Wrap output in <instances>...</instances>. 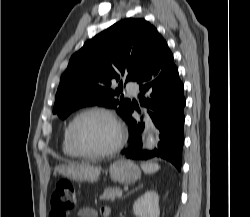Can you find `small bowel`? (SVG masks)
Wrapping results in <instances>:
<instances>
[{
  "mask_svg": "<svg viewBox=\"0 0 250 217\" xmlns=\"http://www.w3.org/2000/svg\"><path fill=\"white\" fill-rule=\"evenodd\" d=\"M99 213L102 217H109L110 208L103 206L100 208ZM97 211L91 207L81 208L77 212V217H97Z\"/></svg>",
  "mask_w": 250,
  "mask_h": 217,
  "instance_id": "obj_1",
  "label": "small bowel"
}]
</instances>
